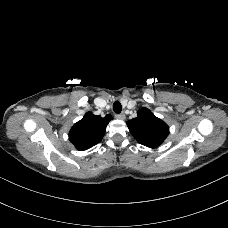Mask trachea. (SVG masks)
<instances>
[{
	"mask_svg": "<svg viewBox=\"0 0 228 228\" xmlns=\"http://www.w3.org/2000/svg\"><path fill=\"white\" fill-rule=\"evenodd\" d=\"M113 110L115 113L119 114L122 110L121 103L119 101H115L113 104Z\"/></svg>",
	"mask_w": 228,
	"mask_h": 228,
	"instance_id": "3493384b",
	"label": "trachea"
}]
</instances>
